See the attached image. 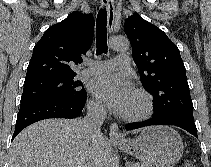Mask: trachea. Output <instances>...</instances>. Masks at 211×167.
Listing matches in <instances>:
<instances>
[{
	"label": "trachea",
	"mask_w": 211,
	"mask_h": 167,
	"mask_svg": "<svg viewBox=\"0 0 211 167\" xmlns=\"http://www.w3.org/2000/svg\"><path fill=\"white\" fill-rule=\"evenodd\" d=\"M107 11L105 8L100 9L96 20V43L97 51L96 54L107 53Z\"/></svg>",
	"instance_id": "obj_1"
}]
</instances>
